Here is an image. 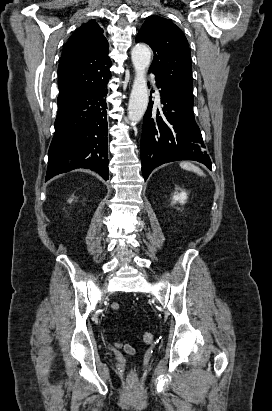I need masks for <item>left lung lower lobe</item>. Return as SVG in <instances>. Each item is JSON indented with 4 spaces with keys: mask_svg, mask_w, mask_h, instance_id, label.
<instances>
[{
    "mask_svg": "<svg viewBox=\"0 0 272 411\" xmlns=\"http://www.w3.org/2000/svg\"><path fill=\"white\" fill-rule=\"evenodd\" d=\"M160 109L149 102L143 118L141 137L142 174L146 180L152 170L175 160H195L211 169L203 139L194 119L193 100L158 83Z\"/></svg>",
    "mask_w": 272,
    "mask_h": 411,
    "instance_id": "1",
    "label": "left lung lower lobe"
}]
</instances>
